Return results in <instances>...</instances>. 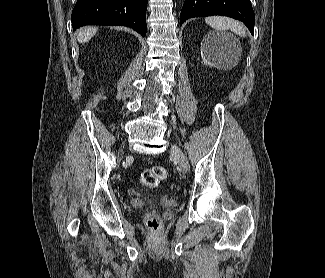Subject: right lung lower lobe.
<instances>
[{
	"mask_svg": "<svg viewBox=\"0 0 325 278\" xmlns=\"http://www.w3.org/2000/svg\"><path fill=\"white\" fill-rule=\"evenodd\" d=\"M148 0H77L72 11L73 31L85 25H122L146 34Z\"/></svg>",
	"mask_w": 325,
	"mask_h": 278,
	"instance_id": "1",
	"label": "right lung lower lobe"
}]
</instances>
